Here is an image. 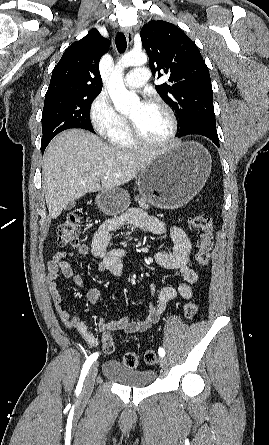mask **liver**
<instances>
[{
	"mask_svg": "<svg viewBox=\"0 0 269 445\" xmlns=\"http://www.w3.org/2000/svg\"><path fill=\"white\" fill-rule=\"evenodd\" d=\"M162 150L108 145L84 130L62 132L44 154L43 189L50 217L56 219L68 202L86 193L128 183Z\"/></svg>",
	"mask_w": 269,
	"mask_h": 445,
	"instance_id": "6515ba94",
	"label": "liver"
}]
</instances>
